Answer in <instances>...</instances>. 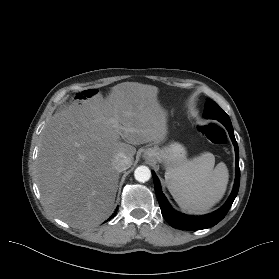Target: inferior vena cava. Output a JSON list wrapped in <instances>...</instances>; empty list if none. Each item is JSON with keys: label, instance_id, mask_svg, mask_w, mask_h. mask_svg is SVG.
<instances>
[{"label": "inferior vena cava", "instance_id": "602c4592", "mask_svg": "<svg viewBox=\"0 0 279 279\" xmlns=\"http://www.w3.org/2000/svg\"><path fill=\"white\" fill-rule=\"evenodd\" d=\"M132 164L131 159L125 155L124 153H118L113 161L114 168L118 172H122L126 169H128Z\"/></svg>", "mask_w": 279, "mask_h": 279}]
</instances>
